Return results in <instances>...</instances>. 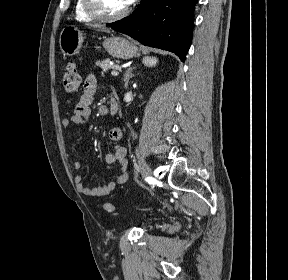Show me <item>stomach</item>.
Here are the masks:
<instances>
[{
  "instance_id": "0dacf381",
  "label": "stomach",
  "mask_w": 288,
  "mask_h": 280,
  "mask_svg": "<svg viewBox=\"0 0 288 280\" xmlns=\"http://www.w3.org/2000/svg\"><path fill=\"white\" fill-rule=\"evenodd\" d=\"M84 41L83 33L75 26L68 25L61 31L59 44L63 54L76 55ZM103 47L113 57L130 59L139 55L138 47L120 36L105 38Z\"/></svg>"
}]
</instances>
